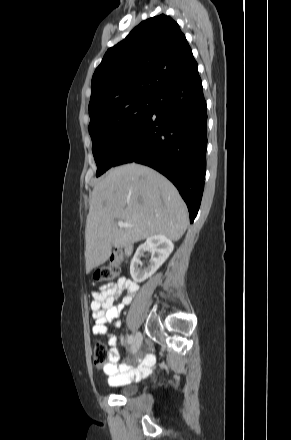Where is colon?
I'll list each match as a JSON object with an SVG mask.
<instances>
[{
    "instance_id": "obj_1",
    "label": "colon",
    "mask_w": 291,
    "mask_h": 440,
    "mask_svg": "<svg viewBox=\"0 0 291 440\" xmlns=\"http://www.w3.org/2000/svg\"><path fill=\"white\" fill-rule=\"evenodd\" d=\"M122 262V257L120 255H115L112 262L98 269L94 276L93 282H109L118 277L120 264ZM92 359L96 366L103 367L109 361V349L103 343H96L92 349Z\"/></svg>"
}]
</instances>
